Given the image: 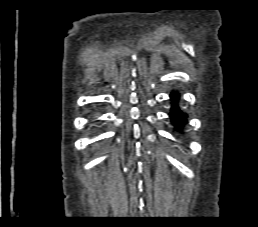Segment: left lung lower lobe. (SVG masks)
I'll list each match as a JSON object with an SVG mask.
<instances>
[{
    "label": "left lung lower lobe",
    "instance_id": "obj_1",
    "mask_svg": "<svg viewBox=\"0 0 258 227\" xmlns=\"http://www.w3.org/2000/svg\"><path fill=\"white\" fill-rule=\"evenodd\" d=\"M170 97L174 104L171 107L169 115L176 130L181 131L187 123V115L183 113L177 105L179 94L177 92H173L170 94Z\"/></svg>",
    "mask_w": 258,
    "mask_h": 227
}]
</instances>
